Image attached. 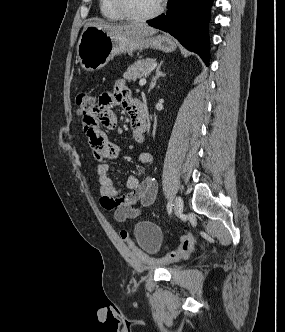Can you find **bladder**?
Returning <instances> with one entry per match:
<instances>
[{
	"label": "bladder",
	"mask_w": 285,
	"mask_h": 332,
	"mask_svg": "<svg viewBox=\"0 0 285 332\" xmlns=\"http://www.w3.org/2000/svg\"><path fill=\"white\" fill-rule=\"evenodd\" d=\"M135 238L143 250L153 252L160 245L161 232L155 224L141 222L135 227Z\"/></svg>",
	"instance_id": "bladder-1"
}]
</instances>
